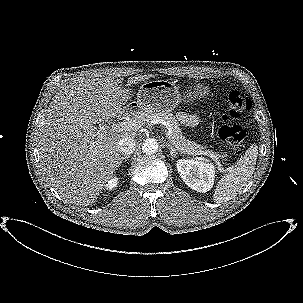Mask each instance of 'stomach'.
Instances as JSON below:
<instances>
[{
  "instance_id": "stomach-1",
  "label": "stomach",
  "mask_w": 303,
  "mask_h": 303,
  "mask_svg": "<svg viewBox=\"0 0 303 303\" xmlns=\"http://www.w3.org/2000/svg\"><path fill=\"white\" fill-rule=\"evenodd\" d=\"M208 88L196 84L184 96L185 102H193L208 94ZM182 101L178 87L168 80L146 81L137 94L136 105L141 113L171 112Z\"/></svg>"
}]
</instances>
